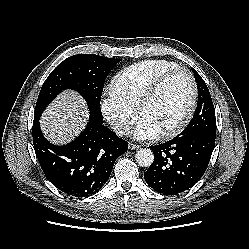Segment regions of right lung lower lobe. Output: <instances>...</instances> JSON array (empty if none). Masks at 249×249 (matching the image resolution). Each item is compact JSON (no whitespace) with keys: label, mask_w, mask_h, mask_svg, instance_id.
<instances>
[{"label":"right lung lower lobe","mask_w":249,"mask_h":249,"mask_svg":"<svg viewBox=\"0 0 249 249\" xmlns=\"http://www.w3.org/2000/svg\"><path fill=\"white\" fill-rule=\"evenodd\" d=\"M33 144L47 179L62 192L86 197L98 192L108 180L115 160L128 143L90 118L85 130L71 143L56 146L43 136L34 118Z\"/></svg>","instance_id":"98d812e1"}]
</instances>
